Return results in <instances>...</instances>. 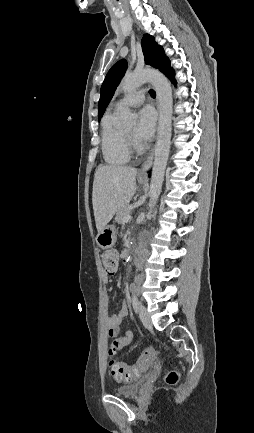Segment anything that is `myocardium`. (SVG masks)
<instances>
[{
    "label": "myocardium",
    "instance_id": "myocardium-1",
    "mask_svg": "<svg viewBox=\"0 0 254 433\" xmlns=\"http://www.w3.org/2000/svg\"><path fill=\"white\" fill-rule=\"evenodd\" d=\"M123 136H124V140L126 143V146L128 148V150L131 151H135L138 150V144L136 142V140L134 139L133 136L129 135L128 133L125 132V130H123Z\"/></svg>",
    "mask_w": 254,
    "mask_h": 433
}]
</instances>
